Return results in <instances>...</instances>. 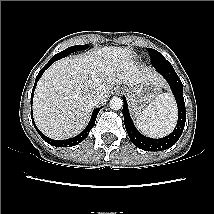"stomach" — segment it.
Masks as SVG:
<instances>
[{
	"mask_svg": "<svg viewBox=\"0 0 214 214\" xmlns=\"http://www.w3.org/2000/svg\"><path fill=\"white\" fill-rule=\"evenodd\" d=\"M163 84L159 81H144L127 89L130 108L133 114L138 115L147 104H150L161 92Z\"/></svg>",
	"mask_w": 214,
	"mask_h": 214,
	"instance_id": "obj_1",
	"label": "stomach"
}]
</instances>
